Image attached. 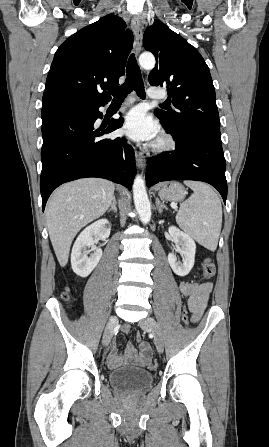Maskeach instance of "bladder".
Returning a JSON list of instances; mask_svg holds the SVG:
<instances>
[{
  "instance_id": "bladder-1",
  "label": "bladder",
  "mask_w": 269,
  "mask_h": 447,
  "mask_svg": "<svg viewBox=\"0 0 269 447\" xmlns=\"http://www.w3.org/2000/svg\"><path fill=\"white\" fill-rule=\"evenodd\" d=\"M108 380L111 387L131 395H138L146 387H151L153 374L138 367L124 366L109 371Z\"/></svg>"
}]
</instances>
